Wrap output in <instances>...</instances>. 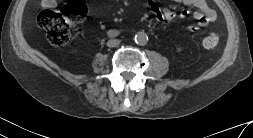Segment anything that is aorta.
<instances>
[{
	"label": "aorta",
	"instance_id": "1",
	"mask_svg": "<svg viewBox=\"0 0 253 138\" xmlns=\"http://www.w3.org/2000/svg\"><path fill=\"white\" fill-rule=\"evenodd\" d=\"M133 39L136 44L141 46L146 45L148 42V36L145 32L136 33Z\"/></svg>",
	"mask_w": 253,
	"mask_h": 138
}]
</instances>
